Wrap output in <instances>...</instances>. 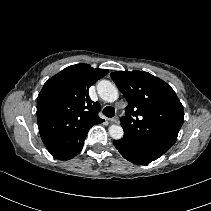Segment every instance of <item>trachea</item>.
Returning a JSON list of instances; mask_svg holds the SVG:
<instances>
[{
    "label": "trachea",
    "instance_id": "1",
    "mask_svg": "<svg viewBox=\"0 0 211 211\" xmlns=\"http://www.w3.org/2000/svg\"><path fill=\"white\" fill-rule=\"evenodd\" d=\"M103 114L106 116V117H113L115 115V109L111 106H106L104 109H103Z\"/></svg>",
    "mask_w": 211,
    "mask_h": 211
}]
</instances>
